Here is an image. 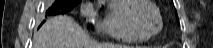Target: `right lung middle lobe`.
<instances>
[{
	"mask_svg": "<svg viewBox=\"0 0 213 48\" xmlns=\"http://www.w3.org/2000/svg\"><path fill=\"white\" fill-rule=\"evenodd\" d=\"M82 0H56L55 3L47 10V15L65 14L73 9Z\"/></svg>",
	"mask_w": 213,
	"mask_h": 48,
	"instance_id": "obj_1",
	"label": "right lung middle lobe"
}]
</instances>
